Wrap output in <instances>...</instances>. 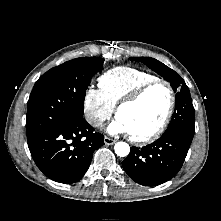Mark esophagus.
I'll return each instance as SVG.
<instances>
[{
  "label": "esophagus",
  "instance_id": "1",
  "mask_svg": "<svg viewBox=\"0 0 221 221\" xmlns=\"http://www.w3.org/2000/svg\"><path fill=\"white\" fill-rule=\"evenodd\" d=\"M115 140L114 139H112V138H109V137H104V143L106 144V145H113V144H115Z\"/></svg>",
  "mask_w": 221,
  "mask_h": 221
}]
</instances>
